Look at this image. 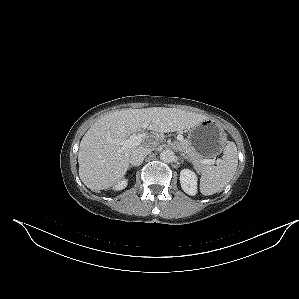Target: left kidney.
<instances>
[{"mask_svg": "<svg viewBox=\"0 0 299 299\" xmlns=\"http://www.w3.org/2000/svg\"><path fill=\"white\" fill-rule=\"evenodd\" d=\"M180 183L181 187L185 193L194 196L197 193V176L196 174L189 170L183 169L180 172Z\"/></svg>", "mask_w": 299, "mask_h": 299, "instance_id": "1", "label": "left kidney"}]
</instances>
